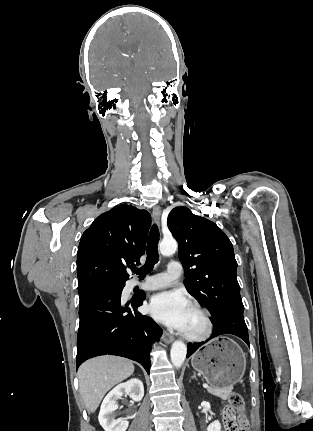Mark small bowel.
<instances>
[{
	"instance_id": "small-bowel-1",
	"label": "small bowel",
	"mask_w": 313,
	"mask_h": 431,
	"mask_svg": "<svg viewBox=\"0 0 313 431\" xmlns=\"http://www.w3.org/2000/svg\"><path fill=\"white\" fill-rule=\"evenodd\" d=\"M234 419L238 422L247 423V419H246L245 415L244 416H236V417H234Z\"/></svg>"
}]
</instances>
